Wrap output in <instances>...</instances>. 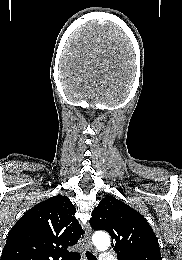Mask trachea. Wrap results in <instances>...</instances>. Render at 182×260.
I'll return each mask as SVG.
<instances>
[{
    "instance_id": "obj_1",
    "label": "trachea",
    "mask_w": 182,
    "mask_h": 260,
    "mask_svg": "<svg viewBox=\"0 0 182 260\" xmlns=\"http://www.w3.org/2000/svg\"><path fill=\"white\" fill-rule=\"evenodd\" d=\"M86 257L88 260H97V258L89 251L86 252Z\"/></svg>"
}]
</instances>
